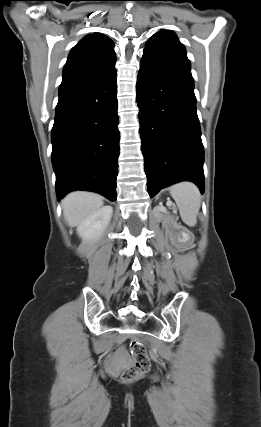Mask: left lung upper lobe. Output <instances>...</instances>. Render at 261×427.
<instances>
[{
	"label": "left lung upper lobe",
	"mask_w": 261,
	"mask_h": 427,
	"mask_svg": "<svg viewBox=\"0 0 261 427\" xmlns=\"http://www.w3.org/2000/svg\"><path fill=\"white\" fill-rule=\"evenodd\" d=\"M144 51L151 52L190 66L184 46L170 30L155 33L146 44Z\"/></svg>",
	"instance_id": "1"
}]
</instances>
